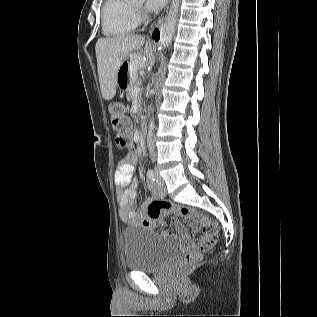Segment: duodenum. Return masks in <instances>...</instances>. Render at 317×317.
<instances>
[{
	"label": "duodenum",
	"instance_id": "duodenum-1",
	"mask_svg": "<svg viewBox=\"0 0 317 317\" xmlns=\"http://www.w3.org/2000/svg\"><path fill=\"white\" fill-rule=\"evenodd\" d=\"M143 133H144V128H143V126H141V128H140V134H139V136H138V138H139L140 140L143 138Z\"/></svg>",
	"mask_w": 317,
	"mask_h": 317
}]
</instances>
